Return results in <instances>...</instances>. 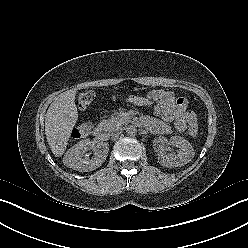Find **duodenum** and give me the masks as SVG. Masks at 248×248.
Returning <instances> with one entry per match:
<instances>
[{
    "label": "duodenum",
    "mask_w": 248,
    "mask_h": 248,
    "mask_svg": "<svg viewBox=\"0 0 248 248\" xmlns=\"http://www.w3.org/2000/svg\"><path fill=\"white\" fill-rule=\"evenodd\" d=\"M107 127L104 123L100 122L96 124L94 128V135L100 139H104L106 136Z\"/></svg>",
    "instance_id": "duodenum-1"
}]
</instances>
